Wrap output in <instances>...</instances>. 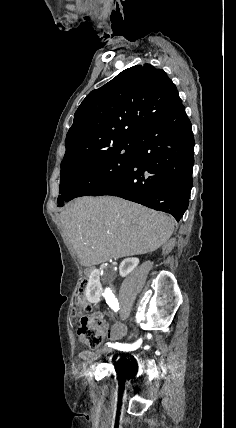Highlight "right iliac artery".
<instances>
[{
    "label": "right iliac artery",
    "instance_id": "82829eb1",
    "mask_svg": "<svg viewBox=\"0 0 236 428\" xmlns=\"http://www.w3.org/2000/svg\"><path fill=\"white\" fill-rule=\"evenodd\" d=\"M106 300V303L113 309L115 312L119 310V303L117 298L112 292H104L102 294ZM142 343V339H139L137 342L133 344H122L116 342L114 343H107L109 347H113L115 349H118L120 351H133L140 347Z\"/></svg>",
    "mask_w": 236,
    "mask_h": 428
}]
</instances>
